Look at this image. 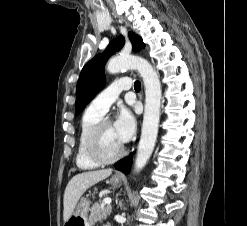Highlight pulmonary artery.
<instances>
[{
  "mask_svg": "<svg viewBox=\"0 0 247 226\" xmlns=\"http://www.w3.org/2000/svg\"><path fill=\"white\" fill-rule=\"evenodd\" d=\"M130 88L131 81L128 77L117 79L91 101L89 108L103 116L120 93Z\"/></svg>",
  "mask_w": 247,
  "mask_h": 226,
  "instance_id": "pulmonary-artery-1",
  "label": "pulmonary artery"
}]
</instances>
